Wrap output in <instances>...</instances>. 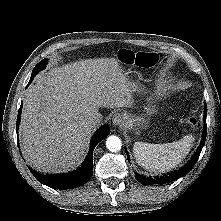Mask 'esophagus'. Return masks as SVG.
<instances>
[{
    "label": "esophagus",
    "mask_w": 221,
    "mask_h": 221,
    "mask_svg": "<svg viewBox=\"0 0 221 221\" xmlns=\"http://www.w3.org/2000/svg\"><path fill=\"white\" fill-rule=\"evenodd\" d=\"M115 127H121L124 124V116L122 113H115L112 118Z\"/></svg>",
    "instance_id": "34e87169"
}]
</instances>
